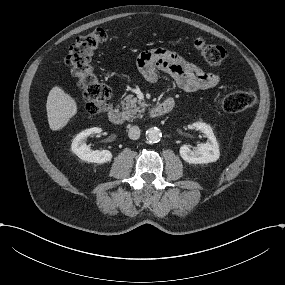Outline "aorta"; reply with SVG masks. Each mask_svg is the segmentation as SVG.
<instances>
[{"label":"aorta","mask_w":285,"mask_h":285,"mask_svg":"<svg viewBox=\"0 0 285 285\" xmlns=\"http://www.w3.org/2000/svg\"><path fill=\"white\" fill-rule=\"evenodd\" d=\"M162 137L160 129L157 127H151L146 131V138L150 142H158Z\"/></svg>","instance_id":"obj_1"}]
</instances>
